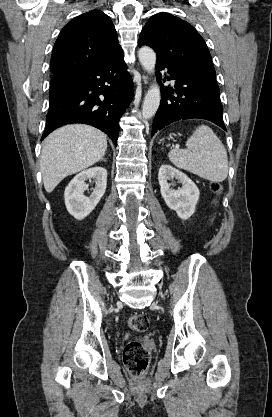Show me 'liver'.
<instances>
[{
    "mask_svg": "<svg viewBox=\"0 0 272 417\" xmlns=\"http://www.w3.org/2000/svg\"><path fill=\"white\" fill-rule=\"evenodd\" d=\"M106 149V135L89 125H67L52 132L42 144L40 159L45 190L51 193L65 177L100 161Z\"/></svg>",
    "mask_w": 272,
    "mask_h": 417,
    "instance_id": "6515ba94",
    "label": "liver"
}]
</instances>
